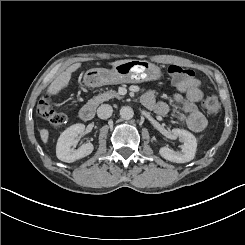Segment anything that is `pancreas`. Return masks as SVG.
Instances as JSON below:
<instances>
[{
  "label": "pancreas",
  "instance_id": "cf45deb5",
  "mask_svg": "<svg viewBox=\"0 0 245 245\" xmlns=\"http://www.w3.org/2000/svg\"><path fill=\"white\" fill-rule=\"evenodd\" d=\"M117 98L121 99L122 97L114 90L106 91L102 94L94 96L90 100H88V104L98 106L99 104L103 103L104 101H108L109 99Z\"/></svg>",
  "mask_w": 245,
  "mask_h": 245
}]
</instances>
